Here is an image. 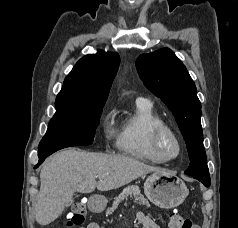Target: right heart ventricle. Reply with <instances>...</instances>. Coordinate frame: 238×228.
<instances>
[{
	"mask_svg": "<svg viewBox=\"0 0 238 228\" xmlns=\"http://www.w3.org/2000/svg\"><path fill=\"white\" fill-rule=\"evenodd\" d=\"M164 123L153 104L144 98L135 101L133 112L121 122L117 137L118 150L128 156L152 163H163L150 146L152 130Z\"/></svg>",
	"mask_w": 238,
	"mask_h": 228,
	"instance_id": "1",
	"label": "right heart ventricle"
}]
</instances>
